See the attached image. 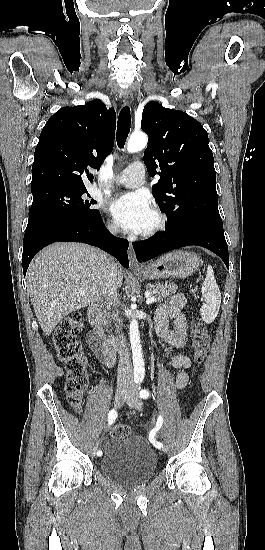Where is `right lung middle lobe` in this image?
I'll use <instances>...</instances> for the list:
<instances>
[{
	"mask_svg": "<svg viewBox=\"0 0 265 550\" xmlns=\"http://www.w3.org/2000/svg\"><path fill=\"white\" fill-rule=\"evenodd\" d=\"M33 202L29 210L27 229L65 219H95L100 216L92 205L97 202L86 189H71L61 186H44L31 189Z\"/></svg>",
	"mask_w": 265,
	"mask_h": 550,
	"instance_id": "dd1d6c3e",
	"label": "right lung middle lobe"
}]
</instances>
